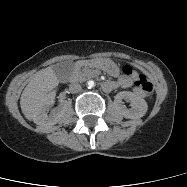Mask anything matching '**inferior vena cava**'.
<instances>
[{"label":"inferior vena cava","mask_w":187,"mask_h":187,"mask_svg":"<svg viewBox=\"0 0 187 187\" xmlns=\"http://www.w3.org/2000/svg\"><path fill=\"white\" fill-rule=\"evenodd\" d=\"M69 90L71 93H79L82 91V87L79 83L74 82L69 85Z\"/></svg>","instance_id":"1"}]
</instances>
